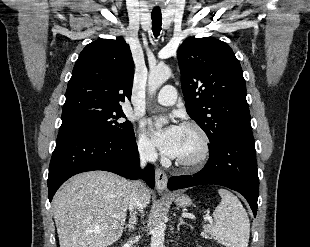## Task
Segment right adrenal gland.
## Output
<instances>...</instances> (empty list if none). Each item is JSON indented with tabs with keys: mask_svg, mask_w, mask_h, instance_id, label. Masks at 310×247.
I'll return each instance as SVG.
<instances>
[{
	"mask_svg": "<svg viewBox=\"0 0 310 247\" xmlns=\"http://www.w3.org/2000/svg\"><path fill=\"white\" fill-rule=\"evenodd\" d=\"M136 222V212H131L128 224L125 225V229H128V232H131L134 229Z\"/></svg>",
	"mask_w": 310,
	"mask_h": 247,
	"instance_id": "2a0ac1e0",
	"label": "right adrenal gland"
}]
</instances>
